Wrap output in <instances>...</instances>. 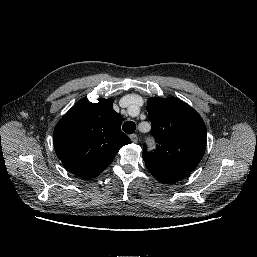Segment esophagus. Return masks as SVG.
<instances>
[{
	"instance_id": "esophagus-1",
	"label": "esophagus",
	"mask_w": 257,
	"mask_h": 257,
	"mask_svg": "<svg viewBox=\"0 0 257 257\" xmlns=\"http://www.w3.org/2000/svg\"><path fill=\"white\" fill-rule=\"evenodd\" d=\"M130 139L133 143H137L138 142V136L137 134H132L130 135Z\"/></svg>"
}]
</instances>
